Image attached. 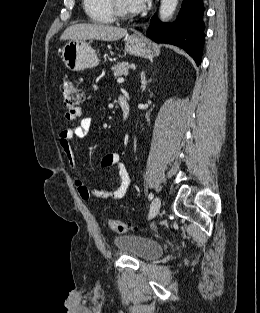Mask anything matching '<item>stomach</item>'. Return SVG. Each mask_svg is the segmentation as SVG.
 I'll return each mask as SVG.
<instances>
[{
  "mask_svg": "<svg viewBox=\"0 0 260 313\" xmlns=\"http://www.w3.org/2000/svg\"><path fill=\"white\" fill-rule=\"evenodd\" d=\"M125 50L135 56L151 59L157 48L146 38L139 35L128 36ZM62 59L70 71L94 68L99 64L96 51L85 40H70L62 48Z\"/></svg>",
  "mask_w": 260,
  "mask_h": 313,
  "instance_id": "0dacf381",
  "label": "stomach"
}]
</instances>
